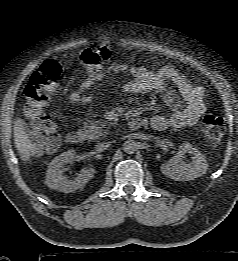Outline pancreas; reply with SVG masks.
Listing matches in <instances>:
<instances>
[{
	"mask_svg": "<svg viewBox=\"0 0 238 261\" xmlns=\"http://www.w3.org/2000/svg\"><path fill=\"white\" fill-rule=\"evenodd\" d=\"M107 125H112V123L107 124L104 120L86 121L83 131L88 139L95 140L108 132V129H105Z\"/></svg>",
	"mask_w": 238,
	"mask_h": 261,
	"instance_id": "obj_1",
	"label": "pancreas"
}]
</instances>
